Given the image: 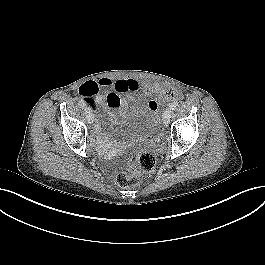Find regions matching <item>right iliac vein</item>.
<instances>
[{
    "instance_id": "obj_1",
    "label": "right iliac vein",
    "mask_w": 265,
    "mask_h": 265,
    "mask_svg": "<svg viewBox=\"0 0 265 265\" xmlns=\"http://www.w3.org/2000/svg\"><path fill=\"white\" fill-rule=\"evenodd\" d=\"M86 119H87L89 124L93 123L94 116H93V112L90 108H86Z\"/></svg>"
}]
</instances>
